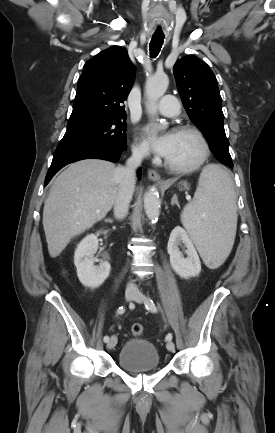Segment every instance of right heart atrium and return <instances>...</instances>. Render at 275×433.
<instances>
[{"mask_svg": "<svg viewBox=\"0 0 275 433\" xmlns=\"http://www.w3.org/2000/svg\"><path fill=\"white\" fill-rule=\"evenodd\" d=\"M133 153L136 157L143 158L148 154V149L144 143L136 142L133 145Z\"/></svg>", "mask_w": 275, "mask_h": 433, "instance_id": "d8ad5b80", "label": "right heart atrium"}]
</instances>
